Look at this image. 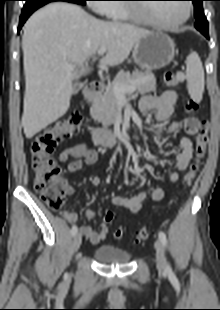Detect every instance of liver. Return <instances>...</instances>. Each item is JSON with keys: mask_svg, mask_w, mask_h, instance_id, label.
<instances>
[{"mask_svg": "<svg viewBox=\"0 0 220 310\" xmlns=\"http://www.w3.org/2000/svg\"><path fill=\"white\" fill-rule=\"evenodd\" d=\"M152 32L122 22L99 20L81 7L50 3L26 22L22 38L25 75L22 126L30 139L69 109L73 80L89 70L101 47L103 66L124 62L135 43ZM75 65L72 70L69 65Z\"/></svg>", "mask_w": 220, "mask_h": 310, "instance_id": "6515ba94", "label": "liver"}]
</instances>
